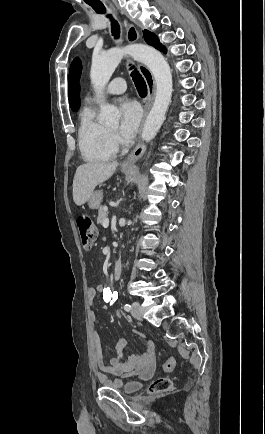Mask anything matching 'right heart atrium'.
<instances>
[{
  "label": "right heart atrium",
  "mask_w": 265,
  "mask_h": 434,
  "mask_svg": "<svg viewBox=\"0 0 265 434\" xmlns=\"http://www.w3.org/2000/svg\"><path fill=\"white\" fill-rule=\"evenodd\" d=\"M124 142V139L121 136H116V132H111V138H110V143L111 148L114 151H119L120 149H122V143Z\"/></svg>",
  "instance_id": "right-heart-atrium-1"
}]
</instances>
